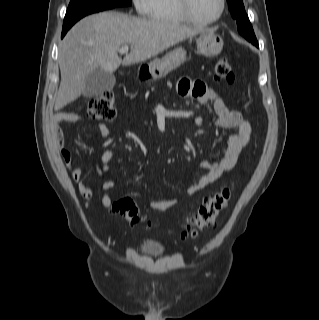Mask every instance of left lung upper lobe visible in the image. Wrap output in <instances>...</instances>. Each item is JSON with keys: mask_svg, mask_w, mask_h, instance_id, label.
<instances>
[{"mask_svg": "<svg viewBox=\"0 0 319 320\" xmlns=\"http://www.w3.org/2000/svg\"><path fill=\"white\" fill-rule=\"evenodd\" d=\"M227 2L232 17L237 21L238 32L248 41L252 43L257 42L251 23L245 12L243 0H227Z\"/></svg>", "mask_w": 319, "mask_h": 320, "instance_id": "5c2ea615", "label": "left lung upper lobe"}]
</instances>
